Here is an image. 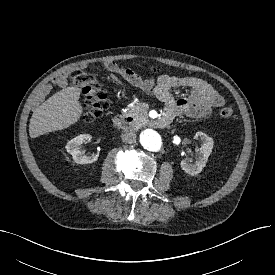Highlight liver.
Masks as SVG:
<instances>
[{"mask_svg": "<svg viewBox=\"0 0 275 275\" xmlns=\"http://www.w3.org/2000/svg\"><path fill=\"white\" fill-rule=\"evenodd\" d=\"M81 89L67 87L48 98L33 111L29 124L31 138L62 130L78 122L83 114Z\"/></svg>", "mask_w": 275, "mask_h": 275, "instance_id": "obj_1", "label": "liver"}]
</instances>
